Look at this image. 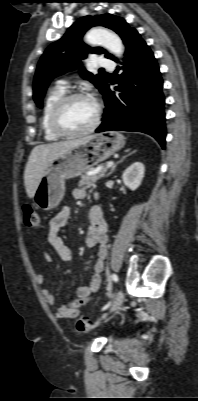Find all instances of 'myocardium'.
Wrapping results in <instances>:
<instances>
[{"label": "myocardium", "mask_w": 198, "mask_h": 401, "mask_svg": "<svg viewBox=\"0 0 198 401\" xmlns=\"http://www.w3.org/2000/svg\"><path fill=\"white\" fill-rule=\"evenodd\" d=\"M91 99L96 104V115L92 124L82 130L72 131L65 128L62 124V114L65 107L73 100L76 99ZM102 109L100 104L85 92H73L63 95L53 106L50 114V125L52 130L60 137L73 138L93 132L100 124Z\"/></svg>", "instance_id": "myocardium-1"}]
</instances>
